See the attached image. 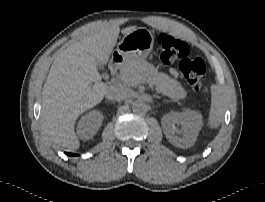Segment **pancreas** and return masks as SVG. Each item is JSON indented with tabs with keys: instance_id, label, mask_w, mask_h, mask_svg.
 Wrapping results in <instances>:
<instances>
[{
	"instance_id": "1",
	"label": "pancreas",
	"mask_w": 265,
	"mask_h": 202,
	"mask_svg": "<svg viewBox=\"0 0 265 202\" xmlns=\"http://www.w3.org/2000/svg\"><path fill=\"white\" fill-rule=\"evenodd\" d=\"M121 81L128 86H136L143 80L155 86L162 93L174 101L186 98L187 92L182 85L165 73L158 72L148 62L142 60H129L119 73Z\"/></svg>"
}]
</instances>
